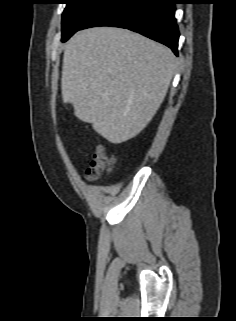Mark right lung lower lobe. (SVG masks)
Listing matches in <instances>:
<instances>
[{"label": "right lung lower lobe", "mask_w": 236, "mask_h": 321, "mask_svg": "<svg viewBox=\"0 0 236 321\" xmlns=\"http://www.w3.org/2000/svg\"><path fill=\"white\" fill-rule=\"evenodd\" d=\"M174 0H108L78 29L113 26L138 32L178 55Z\"/></svg>", "instance_id": "right-lung-lower-lobe-1"}]
</instances>
